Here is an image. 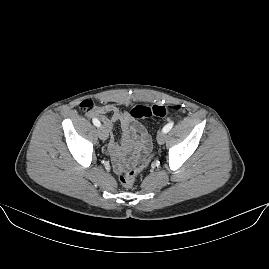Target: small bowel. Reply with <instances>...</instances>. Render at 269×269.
I'll return each mask as SVG.
<instances>
[{
	"label": "small bowel",
	"instance_id": "c3829d8e",
	"mask_svg": "<svg viewBox=\"0 0 269 269\" xmlns=\"http://www.w3.org/2000/svg\"><path fill=\"white\" fill-rule=\"evenodd\" d=\"M91 116L101 119L110 133L108 150L117 173H123L127 168L140 164L143 158L150 157L153 148L151 137L144 125L134 121L130 114L115 104H105L96 106ZM117 121L122 132L120 143L113 136V126Z\"/></svg>",
	"mask_w": 269,
	"mask_h": 269
}]
</instances>
